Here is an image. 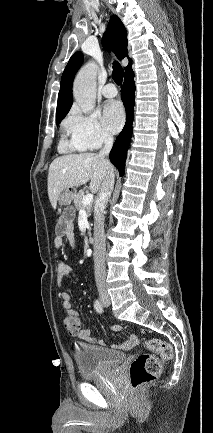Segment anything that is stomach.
<instances>
[{"label":"stomach","mask_w":213,"mask_h":433,"mask_svg":"<svg viewBox=\"0 0 213 433\" xmlns=\"http://www.w3.org/2000/svg\"><path fill=\"white\" fill-rule=\"evenodd\" d=\"M74 197V191L71 188L63 190L58 198L59 204L63 206H69Z\"/></svg>","instance_id":"stomach-1"}]
</instances>
